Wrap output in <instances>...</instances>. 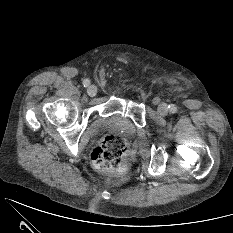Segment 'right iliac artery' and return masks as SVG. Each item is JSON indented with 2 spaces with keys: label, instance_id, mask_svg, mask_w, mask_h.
<instances>
[{
  "label": "right iliac artery",
  "instance_id": "obj_1",
  "mask_svg": "<svg viewBox=\"0 0 233 233\" xmlns=\"http://www.w3.org/2000/svg\"><path fill=\"white\" fill-rule=\"evenodd\" d=\"M89 85H90V80L85 79V80L83 81V86H84V87H88Z\"/></svg>",
  "mask_w": 233,
  "mask_h": 233
}]
</instances>
